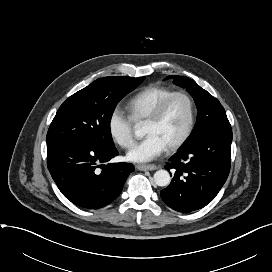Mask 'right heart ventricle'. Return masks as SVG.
I'll list each match as a JSON object with an SVG mask.
<instances>
[{
	"mask_svg": "<svg viewBox=\"0 0 272 272\" xmlns=\"http://www.w3.org/2000/svg\"><path fill=\"white\" fill-rule=\"evenodd\" d=\"M173 91L161 85L145 87L128 101L127 109L130 117L135 123L145 122L159 102Z\"/></svg>",
	"mask_w": 272,
	"mask_h": 272,
	"instance_id": "right-heart-ventricle-1",
	"label": "right heart ventricle"
}]
</instances>
